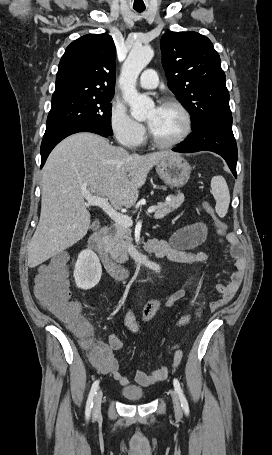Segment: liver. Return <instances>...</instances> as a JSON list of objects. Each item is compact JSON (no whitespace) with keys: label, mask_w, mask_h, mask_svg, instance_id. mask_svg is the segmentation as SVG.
I'll return each mask as SVG.
<instances>
[{"label":"liver","mask_w":272,"mask_h":455,"mask_svg":"<svg viewBox=\"0 0 272 455\" xmlns=\"http://www.w3.org/2000/svg\"><path fill=\"white\" fill-rule=\"evenodd\" d=\"M168 155L176 153L129 154L92 133L64 139L43 168L41 214L28 247V266L42 264L87 234L91 220L84 192L106 197L116 210L130 208L150 169Z\"/></svg>","instance_id":"6515ba94"}]
</instances>
